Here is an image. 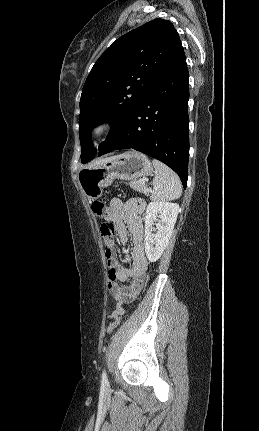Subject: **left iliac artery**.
Listing matches in <instances>:
<instances>
[{
    "label": "left iliac artery",
    "mask_w": 259,
    "mask_h": 431,
    "mask_svg": "<svg viewBox=\"0 0 259 431\" xmlns=\"http://www.w3.org/2000/svg\"><path fill=\"white\" fill-rule=\"evenodd\" d=\"M107 381H108L107 380V374H106V371L104 370L103 373H102V382L103 383H107Z\"/></svg>",
    "instance_id": "left-iliac-artery-1"
}]
</instances>
